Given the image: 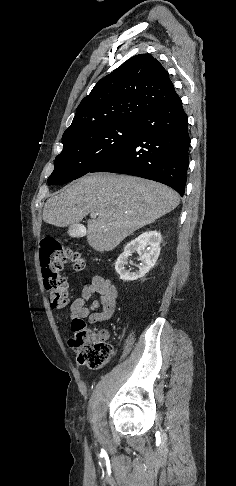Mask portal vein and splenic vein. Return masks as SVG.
I'll list each match as a JSON object with an SVG mask.
<instances>
[{"label":"portal vein and splenic vein","mask_w":236,"mask_h":486,"mask_svg":"<svg viewBox=\"0 0 236 486\" xmlns=\"http://www.w3.org/2000/svg\"><path fill=\"white\" fill-rule=\"evenodd\" d=\"M96 215H97V214H95V215H90V216H91V217H96Z\"/></svg>","instance_id":"1"}]
</instances>
